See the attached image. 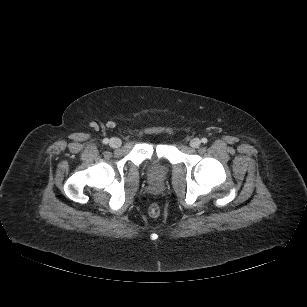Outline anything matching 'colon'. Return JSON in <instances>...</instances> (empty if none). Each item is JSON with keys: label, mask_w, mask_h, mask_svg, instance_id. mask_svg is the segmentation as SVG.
<instances>
[{"label": "colon", "mask_w": 307, "mask_h": 307, "mask_svg": "<svg viewBox=\"0 0 307 307\" xmlns=\"http://www.w3.org/2000/svg\"><path fill=\"white\" fill-rule=\"evenodd\" d=\"M160 212H161V209H160V206L158 204H152L150 207H149V214L152 216V217H157L160 215Z\"/></svg>", "instance_id": "obj_1"}]
</instances>
